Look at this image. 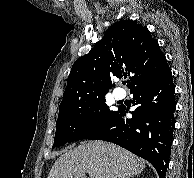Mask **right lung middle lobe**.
<instances>
[{
  "instance_id": "dd1d6c3e",
  "label": "right lung middle lobe",
  "mask_w": 194,
  "mask_h": 178,
  "mask_svg": "<svg viewBox=\"0 0 194 178\" xmlns=\"http://www.w3.org/2000/svg\"><path fill=\"white\" fill-rule=\"evenodd\" d=\"M116 111H111L105 96L94 99L77 108L60 112L52 148L86 139Z\"/></svg>"
}]
</instances>
